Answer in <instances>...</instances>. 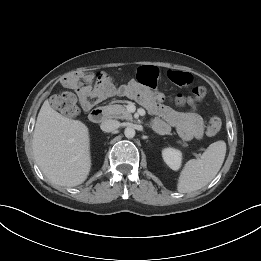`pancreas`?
Listing matches in <instances>:
<instances>
[{
  "label": "pancreas",
  "mask_w": 261,
  "mask_h": 261,
  "mask_svg": "<svg viewBox=\"0 0 261 261\" xmlns=\"http://www.w3.org/2000/svg\"><path fill=\"white\" fill-rule=\"evenodd\" d=\"M109 113V117L117 119L132 120V115L122 105H109L105 107ZM184 147L188 146L187 143L179 141Z\"/></svg>",
  "instance_id": "1"
}]
</instances>
